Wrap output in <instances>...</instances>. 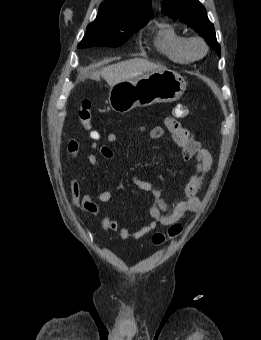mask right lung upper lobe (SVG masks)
Here are the masks:
<instances>
[{"instance_id": "1", "label": "right lung upper lobe", "mask_w": 261, "mask_h": 340, "mask_svg": "<svg viewBox=\"0 0 261 340\" xmlns=\"http://www.w3.org/2000/svg\"><path fill=\"white\" fill-rule=\"evenodd\" d=\"M108 20H149L152 16L151 0H105L98 15Z\"/></svg>"}]
</instances>
